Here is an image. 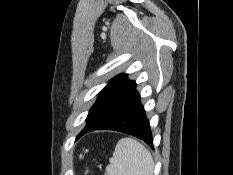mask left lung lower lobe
<instances>
[{"label": "left lung lower lobe", "instance_id": "left-lung-lower-lobe-1", "mask_svg": "<svg viewBox=\"0 0 233 175\" xmlns=\"http://www.w3.org/2000/svg\"><path fill=\"white\" fill-rule=\"evenodd\" d=\"M93 130H115L142 139L153 147V139L136 84L131 86L95 123L85 128L77 138Z\"/></svg>", "mask_w": 233, "mask_h": 175}]
</instances>
